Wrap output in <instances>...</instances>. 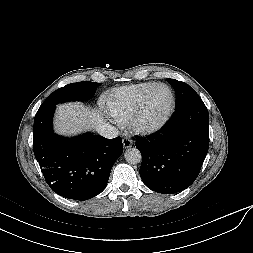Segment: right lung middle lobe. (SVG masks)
Segmentation results:
<instances>
[{"instance_id": "dd1d6c3e", "label": "right lung middle lobe", "mask_w": 253, "mask_h": 253, "mask_svg": "<svg viewBox=\"0 0 253 253\" xmlns=\"http://www.w3.org/2000/svg\"><path fill=\"white\" fill-rule=\"evenodd\" d=\"M100 83L83 81L68 84L54 91L42 105L59 104L67 101H82L90 98Z\"/></svg>"}]
</instances>
